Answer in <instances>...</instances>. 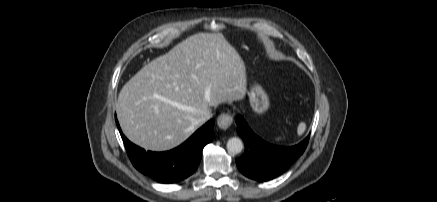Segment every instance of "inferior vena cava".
I'll use <instances>...</instances> for the list:
<instances>
[{"label": "inferior vena cava", "instance_id": "1", "mask_svg": "<svg viewBox=\"0 0 437 202\" xmlns=\"http://www.w3.org/2000/svg\"><path fill=\"white\" fill-rule=\"evenodd\" d=\"M211 117H212L211 112L210 111H205V112L202 113L199 121H200V123L203 124V123L207 122Z\"/></svg>", "mask_w": 437, "mask_h": 202}]
</instances>
